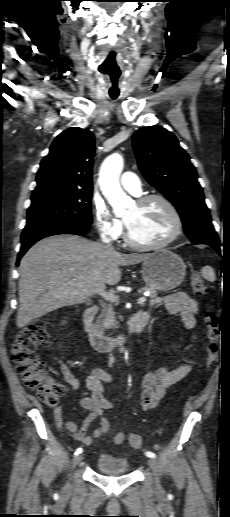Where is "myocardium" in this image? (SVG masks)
Returning <instances> with one entry per match:
<instances>
[{"label": "myocardium", "instance_id": "f54148a6", "mask_svg": "<svg viewBox=\"0 0 230 517\" xmlns=\"http://www.w3.org/2000/svg\"><path fill=\"white\" fill-rule=\"evenodd\" d=\"M152 201H159L168 209V211L170 212V214L172 216L173 223H174L173 230H172L171 234L168 237H166L164 240L157 242V243L146 244V243H141V242H138L137 240H135L133 238V236L131 235V232L129 230L127 223H125V235H124L125 241L129 246H131L135 249L155 250V249L164 248V247L170 245L171 243H173L181 235V233L183 231V220H182V217H181L179 211L177 210L175 205L164 195H161V194L145 195L136 201V205L143 206Z\"/></svg>", "mask_w": 230, "mask_h": 517}]
</instances>
